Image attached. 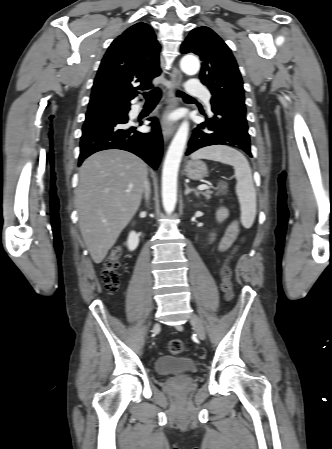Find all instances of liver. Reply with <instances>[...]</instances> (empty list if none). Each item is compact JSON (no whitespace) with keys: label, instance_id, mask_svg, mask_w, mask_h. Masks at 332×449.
Returning a JSON list of instances; mask_svg holds the SVG:
<instances>
[{"label":"liver","instance_id":"obj_1","mask_svg":"<svg viewBox=\"0 0 332 449\" xmlns=\"http://www.w3.org/2000/svg\"><path fill=\"white\" fill-rule=\"evenodd\" d=\"M146 175L143 160L117 149L97 152L81 165L76 208L83 240L96 264L137 212Z\"/></svg>","mask_w":332,"mask_h":449}]
</instances>
